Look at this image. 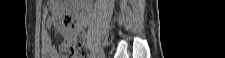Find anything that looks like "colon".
<instances>
[{
	"label": "colon",
	"mask_w": 225,
	"mask_h": 58,
	"mask_svg": "<svg viewBox=\"0 0 225 58\" xmlns=\"http://www.w3.org/2000/svg\"><path fill=\"white\" fill-rule=\"evenodd\" d=\"M83 54V46L77 42L64 48L62 56L64 58H81Z\"/></svg>",
	"instance_id": "5ec220e1"
}]
</instances>
